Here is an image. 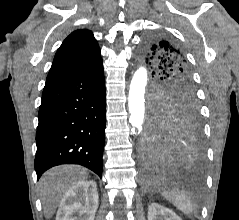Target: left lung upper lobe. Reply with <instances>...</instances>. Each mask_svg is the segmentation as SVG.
I'll return each mask as SVG.
<instances>
[{"instance_id":"left-lung-upper-lobe-1","label":"left lung upper lobe","mask_w":239,"mask_h":220,"mask_svg":"<svg viewBox=\"0 0 239 220\" xmlns=\"http://www.w3.org/2000/svg\"><path fill=\"white\" fill-rule=\"evenodd\" d=\"M141 56L160 79L152 106L170 113H197L191 68L180 45L167 35L151 34L144 40Z\"/></svg>"}]
</instances>
